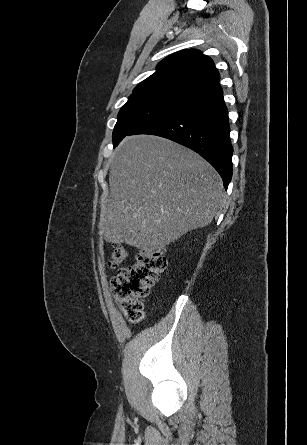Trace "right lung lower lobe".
Here are the masks:
<instances>
[{"instance_id": "obj_1", "label": "right lung lower lobe", "mask_w": 307, "mask_h": 445, "mask_svg": "<svg viewBox=\"0 0 307 445\" xmlns=\"http://www.w3.org/2000/svg\"><path fill=\"white\" fill-rule=\"evenodd\" d=\"M229 132L228 111L218 84L127 135H157L196 151L218 171L227 189L232 177L233 153Z\"/></svg>"}]
</instances>
